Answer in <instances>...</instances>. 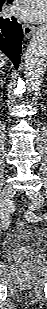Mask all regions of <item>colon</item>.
Listing matches in <instances>:
<instances>
[{
    "label": "colon",
    "mask_w": 47,
    "mask_h": 309,
    "mask_svg": "<svg viewBox=\"0 0 47 309\" xmlns=\"http://www.w3.org/2000/svg\"><path fill=\"white\" fill-rule=\"evenodd\" d=\"M31 214H32L31 212H27V213H26V217L29 218V219H31ZM17 224L20 225V224H22V222H21V221H18Z\"/></svg>",
    "instance_id": "5ec220e1"
}]
</instances>
